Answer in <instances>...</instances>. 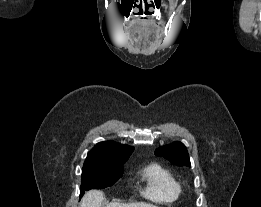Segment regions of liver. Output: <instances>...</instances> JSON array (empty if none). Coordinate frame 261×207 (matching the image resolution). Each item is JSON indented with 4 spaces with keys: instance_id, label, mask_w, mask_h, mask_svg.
<instances>
[{
    "instance_id": "1",
    "label": "liver",
    "mask_w": 261,
    "mask_h": 207,
    "mask_svg": "<svg viewBox=\"0 0 261 207\" xmlns=\"http://www.w3.org/2000/svg\"><path fill=\"white\" fill-rule=\"evenodd\" d=\"M103 198L104 195L102 191L90 190L86 192V194L83 196L79 207H102ZM106 207H158V206L144 203V202L129 203V204L114 202L108 204Z\"/></svg>"
}]
</instances>
